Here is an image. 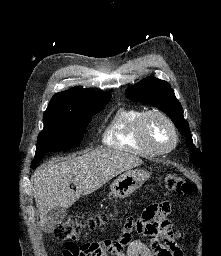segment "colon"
Wrapping results in <instances>:
<instances>
[{"instance_id": "5ec220e1", "label": "colon", "mask_w": 221, "mask_h": 256, "mask_svg": "<svg viewBox=\"0 0 221 256\" xmlns=\"http://www.w3.org/2000/svg\"><path fill=\"white\" fill-rule=\"evenodd\" d=\"M165 187L177 194H191L193 186L181 176L169 173L164 179ZM108 214H98L93 217H84L79 213L70 214L59 226L56 227L54 235L57 239L64 241L65 253H77L78 245L75 243L86 228L95 229L102 226L108 219Z\"/></svg>"}]
</instances>
